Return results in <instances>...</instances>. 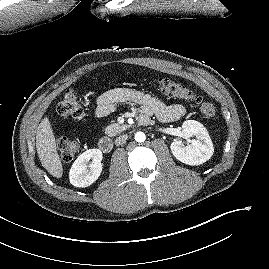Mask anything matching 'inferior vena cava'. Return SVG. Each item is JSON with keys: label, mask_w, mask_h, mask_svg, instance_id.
Here are the masks:
<instances>
[{"label": "inferior vena cava", "mask_w": 269, "mask_h": 269, "mask_svg": "<svg viewBox=\"0 0 269 269\" xmlns=\"http://www.w3.org/2000/svg\"><path fill=\"white\" fill-rule=\"evenodd\" d=\"M127 138H128V136H127L126 134H125V135H121V136H119V137L115 140V144H116L117 146H119V145L125 143L126 140H127Z\"/></svg>", "instance_id": "602c4592"}]
</instances>
